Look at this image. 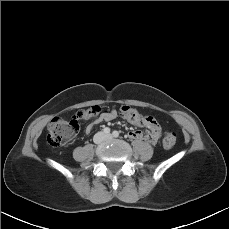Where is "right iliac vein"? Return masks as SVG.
<instances>
[{"label": "right iliac vein", "mask_w": 229, "mask_h": 229, "mask_svg": "<svg viewBox=\"0 0 229 229\" xmlns=\"http://www.w3.org/2000/svg\"><path fill=\"white\" fill-rule=\"evenodd\" d=\"M99 137H100V138H103V134H100Z\"/></svg>", "instance_id": "right-iliac-vein-1"}]
</instances>
